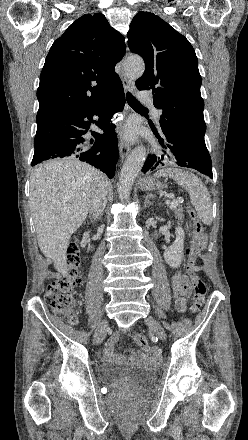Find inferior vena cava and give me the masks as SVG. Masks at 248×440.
<instances>
[{
	"label": "inferior vena cava",
	"instance_id": "602c4592",
	"mask_svg": "<svg viewBox=\"0 0 248 440\" xmlns=\"http://www.w3.org/2000/svg\"><path fill=\"white\" fill-rule=\"evenodd\" d=\"M107 194H108L107 181L105 180L99 181V183L96 185L93 191L89 205V211L93 216V218L97 219L103 214L107 203Z\"/></svg>",
	"mask_w": 248,
	"mask_h": 440
}]
</instances>
